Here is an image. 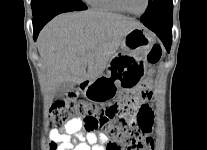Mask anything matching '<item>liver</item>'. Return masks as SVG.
Instances as JSON below:
<instances>
[{
    "label": "liver",
    "mask_w": 207,
    "mask_h": 150,
    "mask_svg": "<svg viewBox=\"0 0 207 150\" xmlns=\"http://www.w3.org/2000/svg\"><path fill=\"white\" fill-rule=\"evenodd\" d=\"M138 26L132 18L94 10L56 16L37 42L49 93L62 83L76 85L101 77L125 34Z\"/></svg>",
    "instance_id": "liver-1"
}]
</instances>
